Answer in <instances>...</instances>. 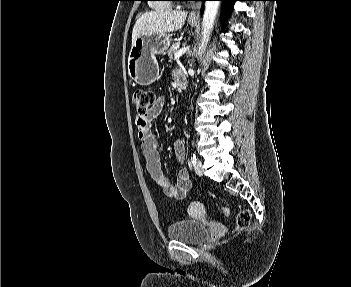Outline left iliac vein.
Wrapping results in <instances>:
<instances>
[{
    "label": "left iliac vein",
    "mask_w": 351,
    "mask_h": 287,
    "mask_svg": "<svg viewBox=\"0 0 351 287\" xmlns=\"http://www.w3.org/2000/svg\"><path fill=\"white\" fill-rule=\"evenodd\" d=\"M202 161L197 160L194 164V171L198 176H202L203 174V166Z\"/></svg>",
    "instance_id": "1"
}]
</instances>
